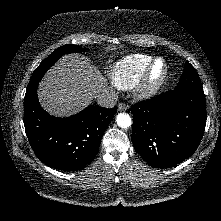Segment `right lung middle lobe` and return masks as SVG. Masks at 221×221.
Listing matches in <instances>:
<instances>
[{
  "label": "right lung middle lobe",
  "instance_id": "1",
  "mask_svg": "<svg viewBox=\"0 0 221 221\" xmlns=\"http://www.w3.org/2000/svg\"><path fill=\"white\" fill-rule=\"evenodd\" d=\"M84 51V48H81L76 45H63L57 48L53 53H51L33 72L30 82L28 84L27 89L37 85L46 71L64 54L72 53V52H79Z\"/></svg>",
  "mask_w": 221,
  "mask_h": 221
}]
</instances>
